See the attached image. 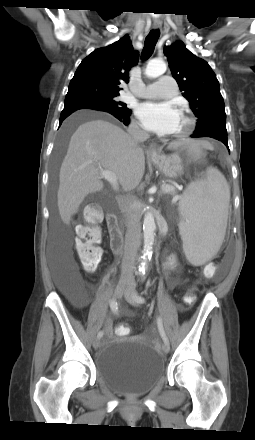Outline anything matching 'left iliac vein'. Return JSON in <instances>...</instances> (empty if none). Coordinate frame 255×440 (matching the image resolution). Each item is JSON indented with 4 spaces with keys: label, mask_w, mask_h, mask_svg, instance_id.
I'll return each instance as SVG.
<instances>
[{
    "label": "left iliac vein",
    "mask_w": 255,
    "mask_h": 440,
    "mask_svg": "<svg viewBox=\"0 0 255 440\" xmlns=\"http://www.w3.org/2000/svg\"><path fill=\"white\" fill-rule=\"evenodd\" d=\"M124 297L132 305H139V302L136 300L137 293L132 286L128 287L124 293ZM162 350L164 353H168L170 351L169 344L164 343L162 346Z\"/></svg>",
    "instance_id": "obj_1"
}]
</instances>
